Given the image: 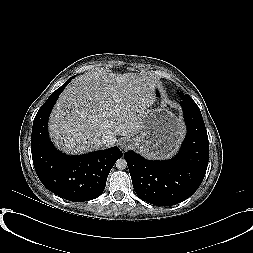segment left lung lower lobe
Segmentation results:
<instances>
[{
	"instance_id": "left-lung-lower-lobe-1",
	"label": "left lung lower lobe",
	"mask_w": 253,
	"mask_h": 253,
	"mask_svg": "<svg viewBox=\"0 0 253 253\" xmlns=\"http://www.w3.org/2000/svg\"><path fill=\"white\" fill-rule=\"evenodd\" d=\"M180 103L187 136L174 158L151 161L133 151L124 153L135 192L154 205H175L188 199L202 183L207 170L209 142L200 109L184 98Z\"/></svg>"
}]
</instances>
